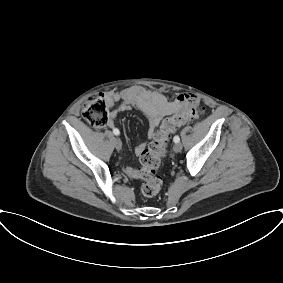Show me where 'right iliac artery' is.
Wrapping results in <instances>:
<instances>
[{
    "mask_svg": "<svg viewBox=\"0 0 283 283\" xmlns=\"http://www.w3.org/2000/svg\"><path fill=\"white\" fill-rule=\"evenodd\" d=\"M113 133H114L115 135H119V134H120V132H119V130H118L117 128L113 129Z\"/></svg>",
    "mask_w": 283,
    "mask_h": 283,
    "instance_id": "82829eb1",
    "label": "right iliac artery"
}]
</instances>
